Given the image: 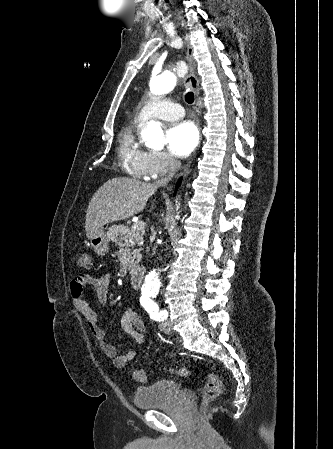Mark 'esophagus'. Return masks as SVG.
<instances>
[{"mask_svg": "<svg viewBox=\"0 0 333 449\" xmlns=\"http://www.w3.org/2000/svg\"><path fill=\"white\" fill-rule=\"evenodd\" d=\"M185 43H186V47H187L186 58H187V61L189 63V67H190V72L187 76L185 85L187 87L191 88V90L194 92L195 96L198 97L199 96V80L194 71L195 62H194V58H193V47L190 44L187 36L185 37ZM192 161L193 160L189 161V163L184 167V169L181 171L179 176L184 175L187 172L188 167L190 166Z\"/></svg>", "mask_w": 333, "mask_h": 449, "instance_id": "1", "label": "esophagus"}]
</instances>
